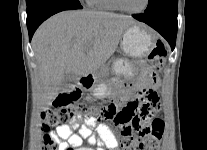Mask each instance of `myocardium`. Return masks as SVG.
<instances>
[{
    "mask_svg": "<svg viewBox=\"0 0 207 150\" xmlns=\"http://www.w3.org/2000/svg\"><path fill=\"white\" fill-rule=\"evenodd\" d=\"M113 2L117 6L118 9H120V10L126 12V13H129V14H141V13H143L147 9L150 0H145V3L143 5V7L141 9H139V10H129V9L125 8L123 6L121 0H113Z\"/></svg>",
    "mask_w": 207,
    "mask_h": 150,
    "instance_id": "myocardium-1",
    "label": "myocardium"
}]
</instances>
